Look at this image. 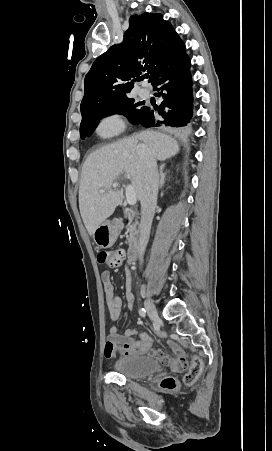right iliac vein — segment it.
Instances as JSON below:
<instances>
[{
    "mask_svg": "<svg viewBox=\"0 0 272 451\" xmlns=\"http://www.w3.org/2000/svg\"><path fill=\"white\" fill-rule=\"evenodd\" d=\"M145 308H146V311H147L149 317L151 318V320L158 319V317H159L158 312H157L154 304L152 303V301H150L148 299L145 300Z\"/></svg>",
    "mask_w": 272,
    "mask_h": 451,
    "instance_id": "1",
    "label": "right iliac vein"
}]
</instances>
